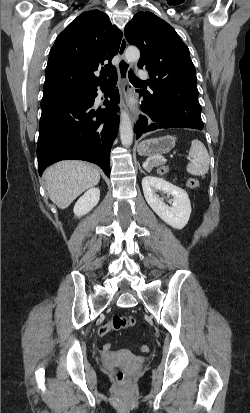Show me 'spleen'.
I'll return each instance as SVG.
<instances>
[{"label": "spleen", "instance_id": "1", "mask_svg": "<svg viewBox=\"0 0 250 413\" xmlns=\"http://www.w3.org/2000/svg\"><path fill=\"white\" fill-rule=\"evenodd\" d=\"M190 162L188 163L186 170L193 176L205 175L209 170V154L205 145L195 139L191 142L189 150Z\"/></svg>", "mask_w": 250, "mask_h": 413}]
</instances>
